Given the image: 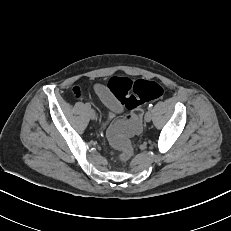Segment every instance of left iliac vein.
I'll use <instances>...</instances> for the list:
<instances>
[{
	"instance_id": "left-iliac-vein-1",
	"label": "left iliac vein",
	"mask_w": 231,
	"mask_h": 231,
	"mask_svg": "<svg viewBox=\"0 0 231 231\" xmlns=\"http://www.w3.org/2000/svg\"><path fill=\"white\" fill-rule=\"evenodd\" d=\"M151 119H152V113H151V111L149 110V111H147V112L145 113L144 120H145L146 122H150Z\"/></svg>"
}]
</instances>
